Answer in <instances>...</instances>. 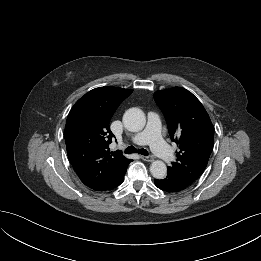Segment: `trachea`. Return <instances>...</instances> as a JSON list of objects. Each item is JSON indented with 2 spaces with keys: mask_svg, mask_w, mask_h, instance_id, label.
<instances>
[{
  "mask_svg": "<svg viewBox=\"0 0 261 261\" xmlns=\"http://www.w3.org/2000/svg\"><path fill=\"white\" fill-rule=\"evenodd\" d=\"M136 152H138L139 154L144 155V156L148 155V151L146 149H143V148L137 150L135 147L129 146L125 149L126 154H132V153H136Z\"/></svg>",
  "mask_w": 261,
  "mask_h": 261,
  "instance_id": "3493384b",
  "label": "trachea"
}]
</instances>
